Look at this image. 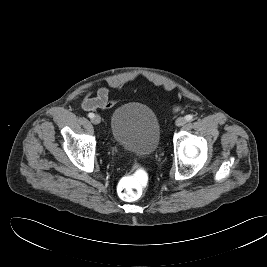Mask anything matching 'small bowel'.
I'll list each match as a JSON object with an SVG mask.
<instances>
[{"label": "small bowel", "instance_id": "c3829d8e", "mask_svg": "<svg viewBox=\"0 0 267 267\" xmlns=\"http://www.w3.org/2000/svg\"><path fill=\"white\" fill-rule=\"evenodd\" d=\"M110 90L106 86L98 89L97 94L91 97V91H86L81 102L84 111L108 110L117 103V100L110 99Z\"/></svg>", "mask_w": 267, "mask_h": 267}]
</instances>
